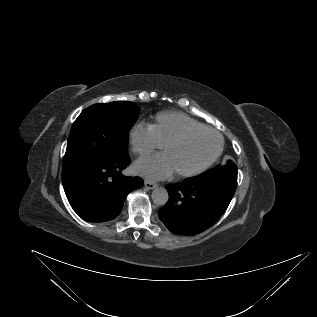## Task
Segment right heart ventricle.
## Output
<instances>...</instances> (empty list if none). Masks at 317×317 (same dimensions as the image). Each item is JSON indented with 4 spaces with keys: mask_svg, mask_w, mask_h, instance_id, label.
<instances>
[{
    "mask_svg": "<svg viewBox=\"0 0 317 317\" xmlns=\"http://www.w3.org/2000/svg\"><path fill=\"white\" fill-rule=\"evenodd\" d=\"M150 126L158 141L163 145L182 131L188 128L204 127V124L182 112L164 111L155 115Z\"/></svg>",
    "mask_w": 317,
    "mask_h": 317,
    "instance_id": "1",
    "label": "right heart ventricle"
}]
</instances>
